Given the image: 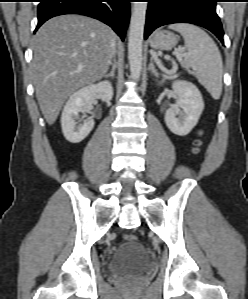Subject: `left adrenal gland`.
<instances>
[{
    "instance_id": "obj_1",
    "label": "left adrenal gland",
    "mask_w": 248,
    "mask_h": 299,
    "mask_svg": "<svg viewBox=\"0 0 248 299\" xmlns=\"http://www.w3.org/2000/svg\"><path fill=\"white\" fill-rule=\"evenodd\" d=\"M148 70L151 71V73H153L156 77H158V71L153 63V57L150 58Z\"/></svg>"
}]
</instances>
